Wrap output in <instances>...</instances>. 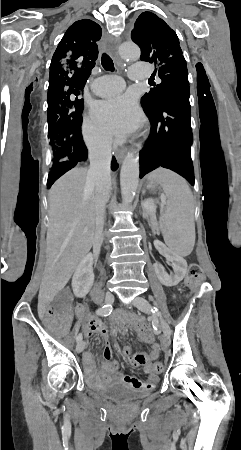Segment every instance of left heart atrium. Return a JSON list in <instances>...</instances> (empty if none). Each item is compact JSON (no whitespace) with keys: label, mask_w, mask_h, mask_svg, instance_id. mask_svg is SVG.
I'll use <instances>...</instances> for the list:
<instances>
[{"label":"left heart atrium","mask_w":241,"mask_h":450,"mask_svg":"<svg viewBox=\"0 0 241 450\" xmlns=\"http://www.w3.org/2000/svg\"><path fill=\"white\" fill-rule=\"evenodd\" d=\"M92 119L99 127L118 137L132 134L143 122L134 98L128 94L97 102L92 109Z\"/></svg>","instance_id":"left-heart-atrium-1"}]
</instances>
